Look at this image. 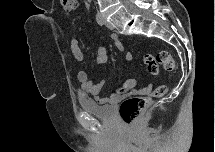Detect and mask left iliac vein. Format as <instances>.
Masks as SVG:
<instances>
[{
	"label": "left iliac vein",
	"instance_id": "4c4485c4",
	"mask_svg": "<svg viewBox=\"0 0 215 152\" xmlns=\"http://www.w3.org/2000/svg\"><path fill=\"white\" fill-rule=\"evenodd\" d=\"M100 16H101V18L103 19V21H104L106 27L109 28V29H113V25H112L110 22H108V21L106 20L105 16H104L103 14H100Z\"/></svg>",
	"mask_w": 215,
	"mask_h": 152
}]
</instances>
